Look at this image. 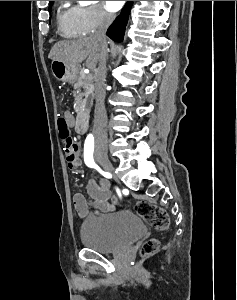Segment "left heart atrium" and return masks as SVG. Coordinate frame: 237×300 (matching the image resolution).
<instances>
[{
    "label": "left heart atrium",
    "instance_id": "39dd6f15",
    "mask_svg": "<svg viewBox=\"0 0 237 300\" xmlns=\"http://www.w3.org/2000/svg\"><path fill=\"white\" fill-rule=\"evenodd\" d=\"M106 7L111 11H118L125 1H105Z\"/></svg>",
    "mask_w": 237,
    "mask_h": 300
}]
</instances>
